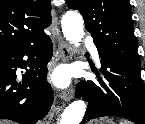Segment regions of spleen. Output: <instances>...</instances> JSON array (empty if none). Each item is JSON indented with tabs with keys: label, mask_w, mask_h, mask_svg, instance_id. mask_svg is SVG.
<instances>
[{
	"label": "spleen",
	"mask_w": 145,
	"mask_h": 124,
	"mask_svg": "<svg viewBox=\"0 0 145 124\" xmlns=\"http://www.w3.org/2000/svg\"><path fill=\"white\" fill-rule=\"evenodd\" d=\"M120 124H129V122H126V121L125 122H120Z\"/></svg>",
	"instance_id": "3e777b00"
}]
</instances>
